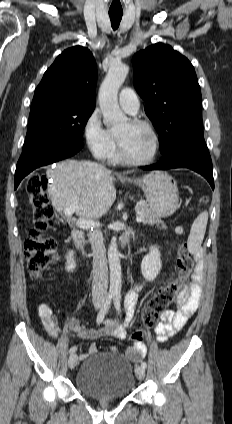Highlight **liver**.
<instances>
[{
	"instance_id": "1",
	"label": "liver",
	"mask_w": 232,
	"mask_h": 424,
	"mask_svg": "<svg viewBox=\"0 0 232 424\" xmlns=\"http://www.w3.org/2000/svg\"><path fill=\"white\" fill-rule=\"evenodd\" d=\"M47 174L52 180L48 195L57 211L77 203L80 219H98L116 199L112 172L96 163L64 160L51 165Z\"/></svg>"
}]
</instances>
